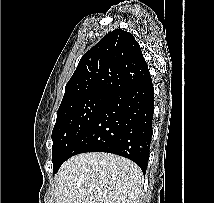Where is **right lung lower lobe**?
I'll use <instances>...</instances> for the list:
<instances>
[{
    "label": "right lung lower lobe",
    "instance_id": "right-lung-lower-lobe-1",
    "mask_svg": "<svg viewBox=\"0 0 214 203\" xmlns=\"http://www.w3.org/2000/svg\"><path fill=\"white\" fill-rule=\"evenodd\" d=\"M153 114L154 88L151 76L148 75L109 97L90 126L72 146L68 158L85 152L113 153L132 160L145 174Z\"/></svg>",
    "mask_w": 214,
    "mask_h": 203
}]
</instances>
